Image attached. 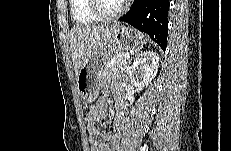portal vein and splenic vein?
Here are the masks:
<instances>
[{
  "instance_id": "portal-vein-and-splenic-vein-1",
  "label": "portal vein and splenic vein",
  "mask_w": 231,
  "mask_h": 151,
  "mask_svg": "<svg viewBox=\"0 0 231 151\" xmlns=\"http://www.w3.org/2000/svg\"><path fill=\"white\" fill-rule=\"evenodd\" d=\"M123 57H125V58H129V57H130V55H129V54H123Z\"/></svg>"
}]
</instances>
